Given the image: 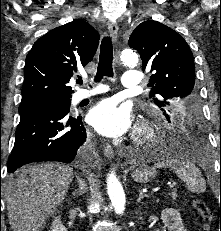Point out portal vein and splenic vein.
Returning a JSON list of instances; mask_svg holds the SVG:
<instances>
[{"label":"portal vein and splenic vein","mask_w":221,"mask_h":231,"mask_svg":"<svg viewBox=\"0 0 221 231\" xmlns=\"http://www.w3.org/2000/svg\"><path fill=\"white\" fill-rule=\"evenodd\" d=\"M176 186V183H171L170 185H169V187L172 189V188H174Z\"/></svg>","instance_id":"obj_1"}]
</instances>
